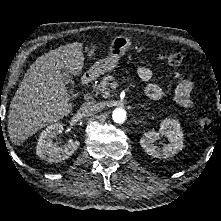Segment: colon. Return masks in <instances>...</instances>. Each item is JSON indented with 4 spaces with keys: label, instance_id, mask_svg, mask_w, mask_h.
Instances as JSON below:
<instances>
[{
    "label": "colon",
    "instance_id": "5ec220e1",
    "mask_svg": "<svg viewBox=\"0 0 221 221\" xmlns=\"http://www.w3.org/2000/svg\"><path fill=\"white\" fill-rule=\"evenodd\" d=\"M159 58L170 66H180L183 62V56L180 53H162ZM198 125L204 129L208 130L212 127V121L209 118H200L198 120Z\"/></svg>",
    "mask_w": 221,
    "mask_h": 221
}]
</instances>
